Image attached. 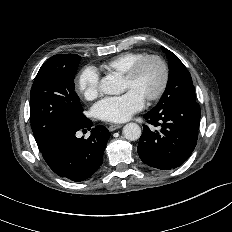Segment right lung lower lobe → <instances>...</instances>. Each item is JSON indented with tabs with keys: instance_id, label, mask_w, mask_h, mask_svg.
<instances>
[{
	"instance_id": "right-lung-lower-lobe-1",
	"label": "right lung lower lobe",
	"mask_w": 232,
	"mask_h": 232,
	"mask_svg": "<svg viewBox=\"0 0 232 232\" xmlns=\"http://www.w3.org/2000/svg\"><path fill=\"white\" fill-rule=\"evenodd\" d=\"M92 122L86 121L78 126H64L41 152L48 166L60 177L79 182L91 177L102 165L103 153L110 137L102 125L91 129ZM91 130L86 140L77 138L79 130Z\"/></svg>"
}]
</instances>
